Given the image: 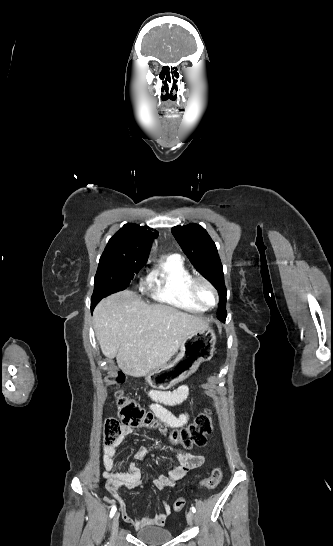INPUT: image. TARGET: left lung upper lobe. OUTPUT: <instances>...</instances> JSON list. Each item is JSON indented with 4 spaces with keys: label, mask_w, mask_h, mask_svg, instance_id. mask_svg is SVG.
I'll use <instances>...</instances> for the list:
<instances>
[{
    "label": "left lung upper lobe",
    "mask_w": 333,
    "mask_h": 546,
    "mask_svg": "<svg viewBox=\"0 0 333 546\" xmlns=\"http://www.w3.org/2000/svg\"><path fill=\"white\" fill-rule=\"evenodd\" d=\"M172 234L195 269L218 290V319H226V287L222 264L215 243L207 231L198 224L175 226Z\"/></svg>",
    "instance_id": "5c2ea615"
}]
</instances>
